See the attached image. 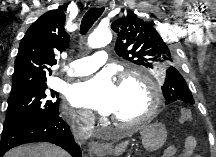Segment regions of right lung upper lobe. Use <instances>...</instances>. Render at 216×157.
<instances>
[{
  "instance_id": "cb5924a9",
  "label": "right lung upper lobe",
  "mask_w": 216,
  "mask_h": 157,
  "mask_svg": "<svg viewBox=\"0 0 216 157\" xmlns=\"http://www.w3.org/2000/svg\"><path fill=\"white\" fill-rule=\"evenodd\" d=\"M64 23L65 14L58 8L46 12L29 27L19 46L11 93L46 85V73L57 62L56 53L66 50L70 42Z\"/></svg>"
}]
</instances>
